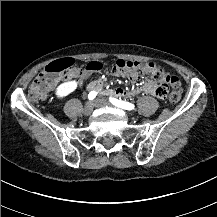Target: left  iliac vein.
Segmentation results:
<instances>
[{"label": "left iliac vein", "instance_id": "left-iliac-vein-1", "mask_svg": "<svg viewBox=\"0 0 217 217\" xmlns=\"http://www.w3.org/2000/svg\"><path fill=\"white\" fill-rule=\"evenodd\" d=\"M94 105L97 106H109L110 102L106 98H98L94 101Z\"/></svg>", "mask_w": 217, "mask_h": 217}]
</instances>
